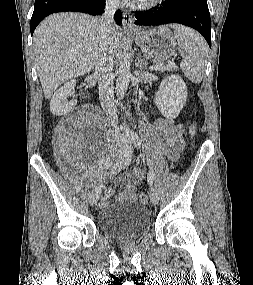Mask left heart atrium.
I'll list each match as a JSON object with an SVG mask.
<instances>
[{
    "label": "left heart atrium",
    "mask_w": 253,
    "mask_h": 285,
    "mask_svg": "<svg viewBox=\"0 0 253 285\" xmlns=\"http://www.w3.org/2000/svg\"><path fill=\"white\" fill-rule=\"evenodd\" d=\"M126 1H139V0H126Z\"/></svg>",
    "instance_id": "39dd6f15"
}]
</instances>
